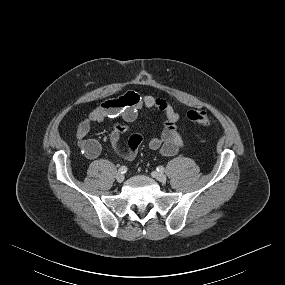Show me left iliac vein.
I'll list each match as a JSON object with an SVG mask.
<instances>
[{
  "label": "left iliac vein",
  "mask_w": 285,
  "mask_h": 285,
  "mask_svg": "<svg viewBox=\"0 0 285 285\" xmlns=\"http://www.w3.org/2000/svg\"><path fill=\"white\" fill-rule=\"evenodd\" d=\"M152 176H153L156 180H158L159 182H162V183L166 182V180H167L166 175L163 174V173H160V172L154 171V172H152Z\"/></svg>",
  "instance_id": "4c4485c4"
}]
</instances>
